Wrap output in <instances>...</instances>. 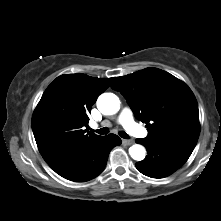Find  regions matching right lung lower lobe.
<instances>
[{"mask_svg": "<svg viewBox=\"0 0 221 221\" xmlns=\"http://www.w3.org/2000/svg\"><path fill=\"white\" fill-rule=\"evenodd\" d=\"M121 144L114 134L101 137L84 148L47 162L60 176L75 182L89 181L105 168L111 149Z\"/></svg>", "mask_w": 221, "mask_h": 221, "instance_id": "1", "label": "right lung lower lobe"}]
</instances>
